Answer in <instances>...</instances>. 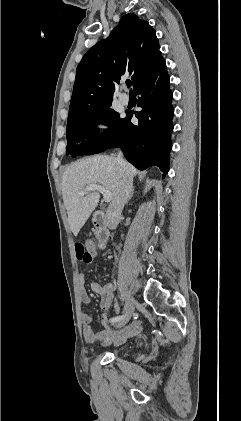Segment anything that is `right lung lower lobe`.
Here are the masks:
<instances>
[{"label":"right lung lower lobe","instance_id":"obj_1","mask_svg":"<svg viewBox=\"0 0 241 421\" xmlns=\"http://www.w3.org/2000/svg\"><path fill=\"white\" fill-rule=\"evenodd\" d=\"M169 80L165 60L161 57L134 88L139 95L138 106L142 107L135 113L139 123L132 124L133 113H127L122 134L109 147H120L126 159L140 170L158 166L164 173L169 171L174 114Z\"/></svg>","mask_w":241,"mask_h":421}]
</instances>
